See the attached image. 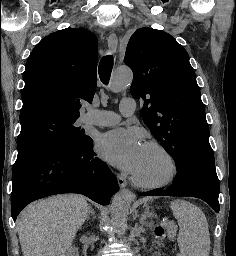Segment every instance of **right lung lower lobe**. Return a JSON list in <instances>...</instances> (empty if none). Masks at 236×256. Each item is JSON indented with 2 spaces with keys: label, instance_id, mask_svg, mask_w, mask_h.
I'll list each match as a JSON object with an SVG mask.
<instances>
[{
  "label": "right lung lower lobe",
  "instance_id": "obj_1",
  "mask_svg": "<svg viewBox=\"0 0 236 256\" xmlns=\"http://www.w3.org/2000/svg\"><path fill=\"white\" fill-rule=\"evenodd\" d=\"M12 184L14 221L26 205L43 197L79 193L106 205L118 190L115 175L106 163L95 157L91 138L80 147L52 145L18 157Z\"/></svg>",
  "mask_w": 236,
  "mask_h": 256
}]
</instances>
